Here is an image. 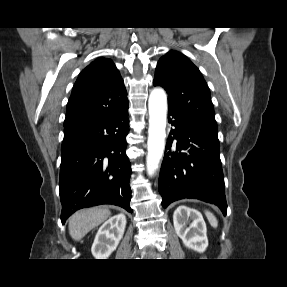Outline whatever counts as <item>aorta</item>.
Returning <instances> with one entry per match:
<instances>
[{
	"label": "aorta",
	"mask_w": 287,
	"mask_h": 287,
	"mask_svg": "<svg viewBox=\"0 0 287 287\" xmlns=\"http://www.w3.org/2000/svg\"><path fill=\"white\" fill-rule=\"evenodd\" d=\"M149 129L146 157L147 173L153 176L164 153L166 137L167 95L162 88H154L148 100Z\"/></svg>",
	"instance_id": "aorta-1"
}]
</instances>
